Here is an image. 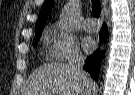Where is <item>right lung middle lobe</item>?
<instances>
[{
	"label": "right lung middle lobe",
	"instance_id": "dd1d6c3e",
	"mask_svg": "<svg viewBox=\"0 0 135 95\" xmlns=\"http://www.w3.org/2000/svg\"><path fill=\"white\" fill-rule=\"evenodd\" d=\"M41 33H42V32H37V33H36V35H35V40H34V47L37 46L38 40H39V38H40V36H41Z\"/></svg>",
	"mask_w": 135,
	"mask_h": 95
}]
</instances>
